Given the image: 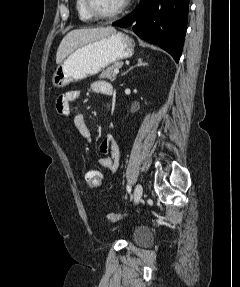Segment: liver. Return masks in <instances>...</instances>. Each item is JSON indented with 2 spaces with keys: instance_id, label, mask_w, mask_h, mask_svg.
<instances>
[{
  "instance_id": "obj_1",
  "label": "liver",
  "mask_w": 240,
  "mask_h": 287,
  "mask_svg": "<svg viewBox=\"0 0 240 287\" xmlns=\"http://www.w3.org/2000/svg\"><path fill=\"white\" fill-rule=\"evenodd\" d=\"M115 31V28L112 26L82 28L70 31L65 35L58 47L56 53V64L59 65L62 63V61L78 47L92 41L99 40Z\"/></svg>"
}]
</instances>
